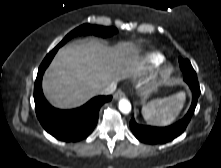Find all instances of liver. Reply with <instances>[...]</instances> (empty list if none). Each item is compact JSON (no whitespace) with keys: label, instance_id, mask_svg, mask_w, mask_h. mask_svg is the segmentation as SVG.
<instances>
[{"label":"liver","instance_id":"liver-1","mask_svg":"<svg viewBox=\"0 0 221 168\" xmlns=\"http://www.w3.org/2000/svg\"><path fill=\"white\" fill-rule=\"evenodd\" d=\"M138 50L122 42L107 47L97 41L71 43L54 57L43 78V91L55 107H78L111 83L134 75L139 68Z\"/></svg>","mask_w":221,"mask_h":168}]
</instances>
